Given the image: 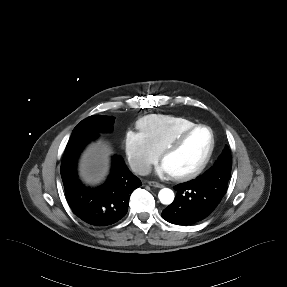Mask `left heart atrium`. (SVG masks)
Here are the masks:
<instances>
[{
    "instance_id": "39dd6f15",
    "label": "left heart atrium",
    "mask_w": 287,
    "mask_h": 287,
    "mask_svg": "<svg viewBox=\"0 0 287 287\" xmlns=\"http://www.w3.org/2000/svg\"><path fill=\"white\" fill-rule=\"evenodd\" d=\"M159 174H169L166 167L164 166L163 163H161L156 170Z\"/></svg>"
}]
</instances>
